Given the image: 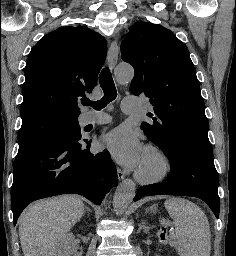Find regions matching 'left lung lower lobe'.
I'll return each mask as SVG.
<instances>
[{"label": "left lung lower lobe", "instance_id": "left-lung-lower-lobe-1", "mask_svg": "<svg viewBox=\"0 0 236 256\" xmlns=\"http://www.w3.org/2000/svg\"><path fill=\"white\" fill-rule=\"evenodd\" d=\"M165 155L171 164L170 175L160 184L140 188L134 201L152 195L197 197L206 202L218 218L219 176L214 166L212 151L198 147H184Z\"/></svg>", "mask_w": 236, "mask_h": 256}]
</instances>
